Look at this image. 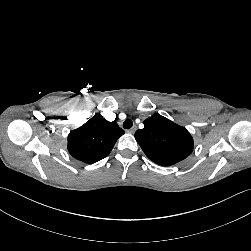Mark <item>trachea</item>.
Returning a JSON list of instances; mask_svg holds the SVG:
<instances>
[{
    "label": "trachea",
    "mask_w": 251,
    "mask_h": 251,
    "mask_svg": "<svg viewBox=\"0 0 251 251\" xmlns=\"http://www.w3.org/2000/svg\"><path fill=\"white\" fill-rule=\"evenodd\" d=\"M133 126V122L131 119H127L123 123V128L124 129H130Z\"/></svg>",
    "instance_id": "1"
}]
</instances>
